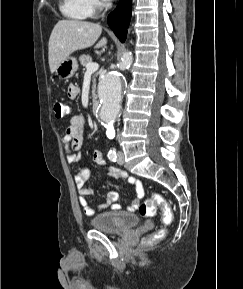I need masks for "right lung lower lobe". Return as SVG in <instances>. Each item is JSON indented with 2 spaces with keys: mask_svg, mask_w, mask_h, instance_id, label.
I'll list each match as a JSON object with an SVG mask.
<instances>
[{
  "mask_svg": "<svg viewBox=\"0 0 243 289\" xmlns=\"http://www.w3.org/2000/svg\"><path fill=\"white\" fill-rule=\"evenodd\" d=\"M131 0H120L118 7L108 16V24L121 42L126 40L131 18Z\"/></svg>",
  "mask_w": 243,
  "mask_h": 289,
  "instance_id": "98d812e1",
  "label": "right lung lower lobe"
}]
</instances>
